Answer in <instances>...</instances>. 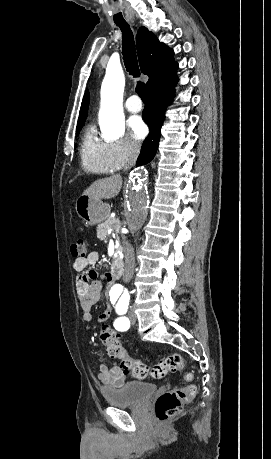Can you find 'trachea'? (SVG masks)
Here are the masks:
<instances>
[{
  "instance_id": "1",
  "label": "trachea",
  "mask_w": 271,
  "mask_h": 459,
  "mask_svg": "<svg viewBox=\"0 0 271 459\" xmlns=\"http://www.w3.org/2000/svg\"><path fill=\"white\" fill-rule=\"evenodd\" d=\"M122 32V54L127 72L133 77L140 76V70L136 55L134 36L128 24L117 25ZM136 92L143 102L148 101L145 83L139 81L136 85Z\"/></svg>"
}]
</instances>
